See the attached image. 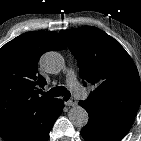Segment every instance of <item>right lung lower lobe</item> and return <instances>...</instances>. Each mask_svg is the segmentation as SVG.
I'll return each instance as SVG.
<instances>
[{
    "label": "right lung lower lobe",
    "instance_id": "98d812e1",
    "mask_svg": "<svg viewBox=\"0 0 141 141\" xmlns=\"http://www.w3.org/2000/svg\"><path fill=\"white\" fill-rule=\"evenodd\" d=\"M64 103L55 99L49 106L16 119L0 132L4 141H47L55 120L60 116Z\"/></svg>",
    "mask_w": 141,
    "mask_h": 141
}]
</instances>
